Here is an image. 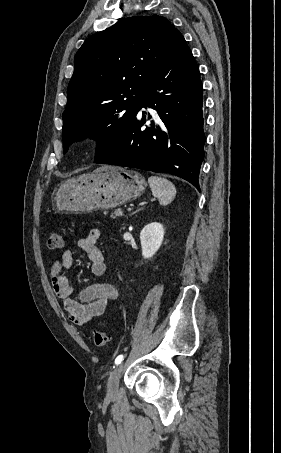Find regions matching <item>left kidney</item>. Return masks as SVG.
I'll use <instances>...</instances> for the list:
<instances>
[{"mask_svg":"<svg viewBox=\"0 0 281 453\" xmlns=\"http://www.w3.org/2000/svg\"><path fill=\"white\" fill-rule=\"evenodd\" d=\"M165 229L161 222H149L140 233L143 259H151L162 245Z\"/></svg>","mask_w":281,"mask_h":453,"instance_id":"left-kidney-1","label":"left kidney"}]
</instances>
